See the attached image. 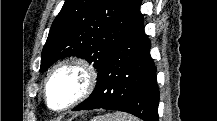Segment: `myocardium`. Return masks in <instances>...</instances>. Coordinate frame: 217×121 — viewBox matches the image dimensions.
<instances>
[{
  "label": "myocardium",
  "instance_id": "f54148a6",
  "mask_svg": "<svg viewBox=\"0 0 217 121\" xmlns=\"http://www.w3.org/2000/svg\"><path fill=\"white\" fill-rule=\"evenodd\" d=\"M75 70L81 73L83 77V86L82 89L79 91V93L65 106L60 108H55L50 103V93H49V87L51 84V81L54 79V77L64 71V70ZM98 83V74L96 71V68L94 65L87 61L86 59L80 58V57H71L69 59H66L57 65L53 67V69L49 72L47 75L45 82H44V99L47 104V106L55 111V112H62L66 111L75 105L79 104L83 100H85L87 97L91 95V93L95 90Z\"/></svg>",
  "mask_w": 217,
  "mask_h": 121
}]
</instances>
